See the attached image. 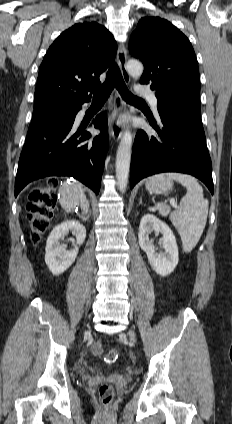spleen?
I'll return each instance as SVG.
<instances>
[{"mask_svg":"<svg viewBox=\"0 0 232 424\" xmlns=\"http://www.w3.org/2000/svg\"><path fill=\"white\" fill-rule=\"evenodd\" d=\"M167 176L186 187L187 193L181 199L178 209L173 212L166 203L155 205L162 216L169 215L181 237L184 252L189 253L203 233L209 203L204 199L203 189L194 177L182 173H169Z\"/></svg>","mask_w":232,"mask_h":424,"instance_id":"obj_1","label":"spleen"}]
</instances>
